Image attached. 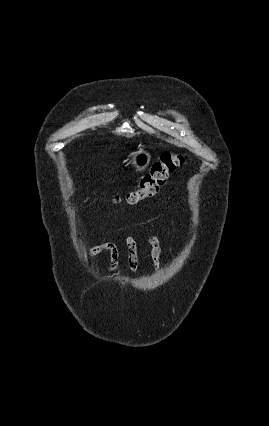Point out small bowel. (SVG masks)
<instances>
[{
    "instance_id": "1",
    "label": "small bowel",
    "mask_w": 269,
    "mask_h": 426,
    "mask_svg": "<svg viewBox=\"0 0 269 426\" xmlns=\"http://www.w3.org/2000/svg\"><path fill=\"white\" fill-rule=\"evenodd\" d=\"M148 243L150 246V257L152 260V265L155 274H157L160 270L161 266V259L163 255L165 254V251L163 250L161 243L158 239V237L154 234H150L148 236ZM125 245L127 248V263L130 271L133 273L136 271L138 264H139V249L138 245L131 235H126L125 237ZM106 251L109 253L110 256V263L108 267V273H113L118 266L119 258H120V251L118 246L115 243L107 242L100 246L95 247H89L87 249V253L89 255H95L99 252Z\"/></svg>"
}]
</instances>
